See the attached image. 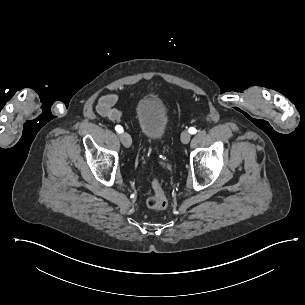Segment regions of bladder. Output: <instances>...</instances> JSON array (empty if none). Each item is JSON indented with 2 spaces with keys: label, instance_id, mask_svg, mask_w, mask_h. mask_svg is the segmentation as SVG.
<instances>
[{
  "label": "bladder",
  "instance_id": "1",
  "mask_svg": "<svg viewBox=\"0 0 305 305\" xmlns=\"http://www.w3.org/2000/svg\"><path fill=\"white\" fill-rule=\"evenodd\" d=\"M137 127L147 140L160 141L166 137L172 123L169 104L156 93H147L133 104Z\"/></svg>",
  "mask_w": 305,
  "mask_h": 305
}]
</instances>
